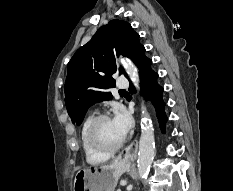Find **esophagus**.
I'll return each instance as SVG.
<instances>
[{
  "instance_id": "esophagus-1",
  "label": "esophagus",
  "mask_w": 233,
  "mask_h": 191,
  "mask_svg": "<svg viewBox=\"0 0 233 191\" xmlns=\"http://www.w3.org/2000/svg\"><path fill=\"white\" fill-rule=\"evenodd\" d=\"M138 148L137 140H134L124 151H122L117 157L116 161L126 163L136 158V152Z\"/></svg>"
}]
</instances>
